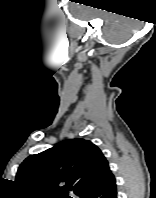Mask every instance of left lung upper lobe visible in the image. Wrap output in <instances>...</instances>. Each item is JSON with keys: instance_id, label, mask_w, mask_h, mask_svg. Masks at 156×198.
I'll use <instances>...</instances> for the list:
<instances>
[{"instance_id": "5c2ea615", "label": "left lung upper lobe", "mask_w": 156, "mask_h": 198, "mask_svg": "<svg viewBox=\"0 0 156 198\" xmlns=\"http://www.w3.org/2000/svg\"><path fill=\"white\" fill-rule=\"evenodd\" d=\"M110 172L101 150L85 139L64 140L26 158L16 183L27 198H71L97 186Z\"/></svg>"}]
</instances>
